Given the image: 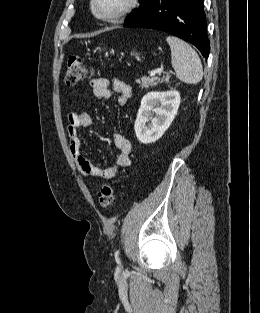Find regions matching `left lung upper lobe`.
<instances>
[{"instance_id":"left-lung-upper-lobe-1","label":"left lung upper lobe","mask_w":260,"mask_h":313,"mask_svg":"<svg viewBox=\"0 0 260 313\" xmlns=\"http://www.w3.org/2000/svg\"><path fill=\"white\" fill-rule=\"evenodd\" d=\"M150 2V0H140V7L133 11L132 13H130L127 17L126 20L131 19L132 17H134L135 15H137L140 11H142Z\"/></svg>"}]
</instances>
